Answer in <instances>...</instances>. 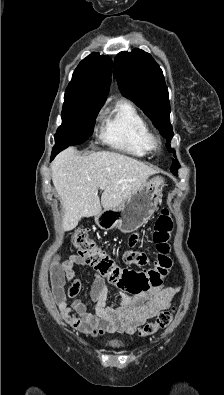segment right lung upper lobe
<instances>
[{
    "label": "right lung upper lobe",
    "instance_id": "obj_1",
    "mask_svg": "<svg viewBox=\"0 0 224 395\" xmlns=\"http://www.w3.org/2000/svg\"><path fill=\"white\" fill-rule=\"evenodd\" d=\"M111 73V58L94 52L77 66L65 92L89 96L104 103L111 83Z\"/></svg>",
    "mask_w": 224,
    "mask_h": 395
}]
</instances>
